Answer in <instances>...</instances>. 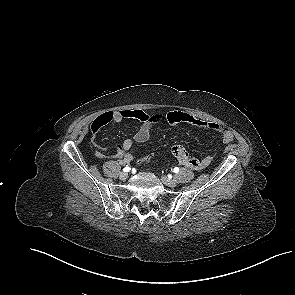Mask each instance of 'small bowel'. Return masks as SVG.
Returning <instances> with one entry per match:
<instances>
[{
    "mask_svg": "<svg viewBox=\"0 0 295 295\" xmlns=\"http://www.w3.org/2000/svg\"><path fill=\"white\" fill-rule=\"evenodd\" d=\"M126 119H136L141 122L140 128L134 134L133 138L125 139L122 143L114 146L115 154L106 155L107 149L99 148L95 155L98 158H115L119 159L122 164H129L133 160V155L130 153V149L134 142L144 143L149 140L151 131L155 124L165 120L169 124H189L199 128L207 129L220 134L224 143H230L233 141V134L221 127L219 124L205 122L199 120L189 113L183 111H170L166 114H149L142 110H119V111H107L99 115L94 119L91 125V129L96 135L98 131L109 123H120ZM95 139V138H94ZM172 152L177 158L179 163L187 168L193 170H202L208 167L213 161L214 155L209 154L202 159L190 157L183 146L177 145L173 147Z\"/></svg>",
    "mask_w": 295,
    "mask_h": 295,
    "instance_id": "c3829d8e",
    "label": "small bowel"
}]
</instances>
